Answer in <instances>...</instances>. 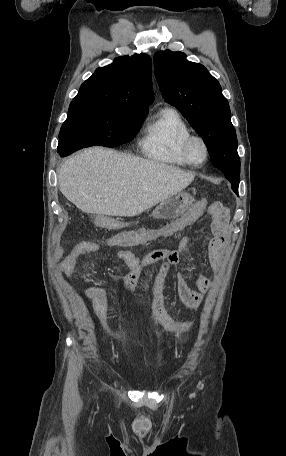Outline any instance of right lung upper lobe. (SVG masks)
<instances>
[{"label":"right lung upper lobe","instance_id":"right-lung-upper-lobe-1","mask_svg":"<svg viewBox=\"0 0 286 456\" xmlns=\"http://www.w3.org/2000/svg\"><path fill=\"white\" fill-rule=\"evenodd\" d=\"M152 61L146 54L122 56L97 68L80 87L72 102L107 105L147 112L152 102Z\"/></svg>","mask_w":286,"mask_h":456}]
</instances>
